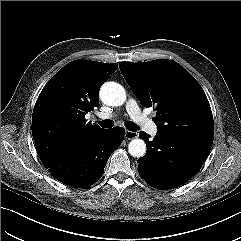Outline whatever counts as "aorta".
Returning <instances> with one entry per match:
<instances>
[{"label":"aorta","instance_id":"obj_1","mask_svg":"<svg viewBox=\"0 0 241 241\" xmlns=\"http://www.w3.org/2000/svg\"><path fill=\"white\" fill-rule=\"evenodd\" d=\"M101 100L109 106H121L126 100L125 89L116 82H106L100 89ZM128 152L133 157H142L146 153V144L142 139H133L128 145Z\"/></svg>","mask_w":241,"mask_h":241}]
</instances>
